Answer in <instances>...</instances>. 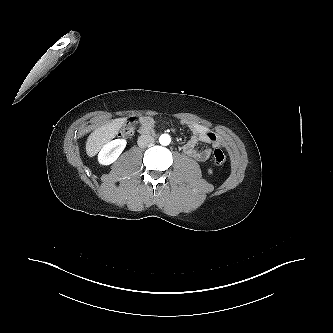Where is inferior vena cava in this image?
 <instances>
[{
    "mask_svg": "<svg viewBox=\"0 0 333 333\" xmlns=\"http://www.w3.org/2000/svg\"><path fill=\"white\" fill-rule=\"evenodd\" d=\"M155 142V139L150 135H141L138 138V146L141 148L151 146Z\"/></svg>",
    "mask_w": 333,
    "mask_h": 333,
    "instance_id": "602c4592",
    "label": "inferior vena cava"
}]
</instances>
